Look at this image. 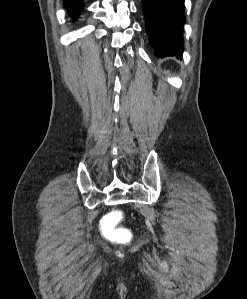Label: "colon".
<instances>
[{"mask_svg":"<svg viewBox=\"0 0 247 299\" xmlns=\"http://www.w3.org/2000/svg\"><path fill=\"white\" fill-rule=\"evenodd\" d=\"M120 220V212L115 211L108 214L102 221V231L111 240L125 242L130 239V232L119 226Z\"/></svg>","mask_w":247,"mask_h":299,"instance_id":"1","label":"colon"}]
</instances>
